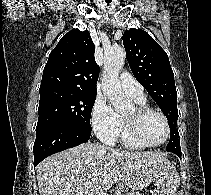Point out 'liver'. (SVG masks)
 Segmentation results:
<instances>
[{
    "instance_id": "obj_1",
    "label": "liver",
    "mask_w": 211,
    "mask_h": 195,
    "mask_svg": "<svg viewBox=\"0 0 211 195\" xmlns=\"http://www.w3.org/2000/svg\"><path fill=\"white\" fill-rule=\"evenodd\" d=\"M168 160L160 152L117 150L84 143L55 153L36 168L40 195H100L118 181L141 190L146 188ZM133 175L149 179L132 183Z\"/></svg>"
}]
</instances>
